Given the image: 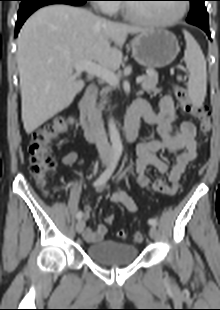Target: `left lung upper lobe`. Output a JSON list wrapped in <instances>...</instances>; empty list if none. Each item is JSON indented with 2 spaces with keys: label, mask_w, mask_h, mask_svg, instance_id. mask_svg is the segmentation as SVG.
Masks as SVG:
<instances>
[{
  "label": "left lung upper lobe",
  "mask_w": 220,
  "mask_h": 310,
  "mask_svg": "<svg viewBox=\"0 0 220 310\" xmlns=\"http://www.w3.org/2000/svg\"><path fill=\"white\" fill-rule=\"evenodd\" d=\"M188 1H190L191 9L187 22L198 27H208V13L204 5L205 0Z\"/></svg>",
  "instance_id": "left-lung-upper-lobe-1"
}]
</instances>
